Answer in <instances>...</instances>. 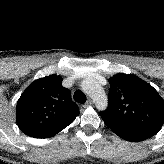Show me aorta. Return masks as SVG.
Returning a JSON list of instances; mask_svg holds the SVG:
<instances>
[{
	"instance_id": "1",
	"label": "aorta",
	"mask_w": 164,
	"mask_h": 164,
	"mask_svg": "<svg viewBox=\"0 0 164 164\" xmlns=\"http://www.w3.org/2000/svg\"><path fill=\"white\" fill-rule=\"evenodd\" d=\"M81 87L93 99L98 110L106 109L108 106L107 96L98 82L95 80H84Z\"/></svg>"
}]
</instances>
